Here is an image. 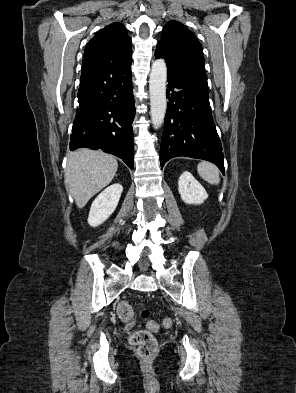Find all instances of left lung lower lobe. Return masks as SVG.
I'll return each instance as SVG.
<instances>
[{"instance_id": "left-lung-lower-lobe-1", "label": "left lung lower lobe", "mask_w": 296, "mask_h": 393, "mask_svg": "<svg viewBox=\"0 0 296 393\" xmlns=\"http://www.w3.org/2000/svg\"><path fill=\"white\" fill-rule=\"evenodd\" d=\"M167 112L162 134L161 167L173 157L210 161L224 174L222 145L209 103L207 77L167 71Z\"/></svg>"}]
</instances>
